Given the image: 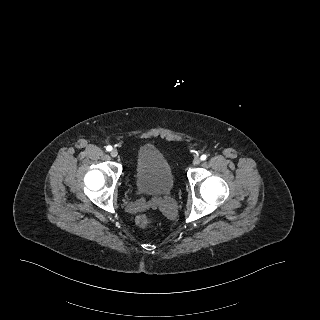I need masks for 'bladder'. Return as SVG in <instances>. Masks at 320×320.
Segmentation results:
<instances>
[{
    "mask_svg": "<svg viewBox=\"0 0 320 320\" xmlns=\"http://www.w3.org/2000/svg\"><path fill=\"white\" fill-rule=\"evenodd\" d=\"M134 185L143 195L165 196L175 186L171 166L165 156L155 147L143 146L136 154Z\"/></svg>",
    "mask_w": 320,
    "mask_h": 320,
    "instance_id": "bladder-1",
    "label": "bladder"
}]
</instances>
